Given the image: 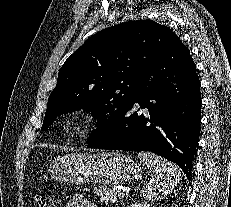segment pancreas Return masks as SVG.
Segmentation results:
<instances>
[{"label":"pancreas","instance_id":"pancreas-1","mask_svg":"<svg viewBox=\"0 0 231 207\" xmlns=\"http://www.w3.org/2000/svg\"><path fill=\"white\" fill-rule=\"evenodd\" d=\"M102 203H116L118 201V191L107 187H99L95 190Z\"/></svg>","mask_w":231,"mask_h":207}]
</instances>
